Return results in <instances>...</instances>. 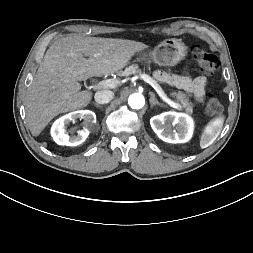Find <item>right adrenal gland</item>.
Segmentation results:
<instances>
[{"label":"right adrenal gland","instance_id":"1","mask_svg":"<svg viewBox=\"0 0 253 253\" xmlns=\"http://www.w3.org/2000/svg\"><path fill=\"white\" fill-rule=\"evenodd\" d=\"M96 107H98V108H102V106L101 105H99V104H97V103H93Z\"/></svg>","mask_w":253,"mask_h":253}]
</instances>
